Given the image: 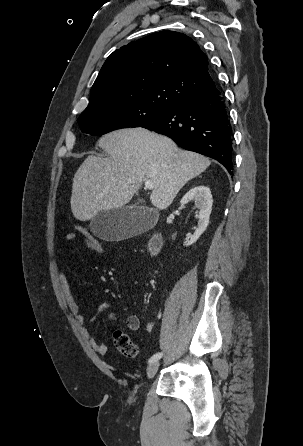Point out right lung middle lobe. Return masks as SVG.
<instances>
[{
  "mask_svg": "<svg viewBox=\"0 0 303 446\" xmlns=\"http://www.w3.org/2000/svg\"><path fill=\"white\" fill-rule=\"evenodd\" d=\"M170 108L144 102L115 103L84 110L77 122L82 132L103 135L116 129L141 127Z\"/></svg>",
  "mask_w": 303,
  "mask_h": 446,
  "instance_id": "dd1d6c3e",
  "label": "right lung middle lobe"
}]
</instances>
